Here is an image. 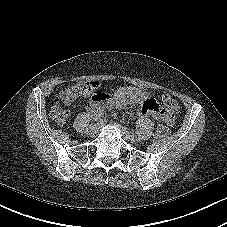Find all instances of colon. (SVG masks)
<instances>
[{
	"label": "colon",
	"instance_id": "1",
	"mask_svg": "<svg viewBox=\"0 0 227 227\" xmlns=\"http://www.w3.org/2000/svg\"><path fill=\"white\" fill-rule=\"evenodd\" d=\"M100 85L96 81H79L74 85L64 88L59 96L54 100L51 107L50 116L58 125H64L69 118L67 105L77 97H91L92 99H105L107 96L97 92ZM163 111L167 114V121L161 123L156 130L158 137H165L169 133L170 119L178 112V102L170 95L161 96Z\"/></svg>",
	"mask_w": 227,
	"mask_h": 227
}]
</instances>
